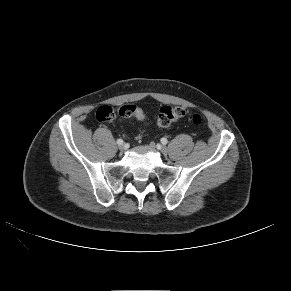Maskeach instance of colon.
Listing matches in <instances>:
<instances>
[{
  "label": "colon",
  "instance_id": "obj_1",
  "mask_svg": "<svg viewBox=\"0 0 291 291\" xmlns=\"http://www.w3.org/2000/svg\"><path fill=\"white\" fill-rule=\"evenodd\" d=\"M116 115L122 117H134L138 120H144L146 117L144 111L134 104L123 105L118 109L110 106H101L96 112V118L99 121H111L116 117ZM186 115H188V110L183 106H164L159 111L156 123L159 127L165 128ZM191 120L195 125H200L202 117L199 114H194L192 115Z\"/></svg>",
  "mask_w": 291,
  "mask_h": 291
}]
</instances>
